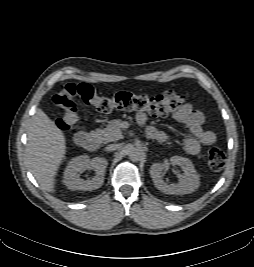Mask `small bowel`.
Masks as SVG:
<instances>
[{"label": "small bowel", "mask_w": 254, "mask_h": 267, "mask_svg": "<svg viewBox=\"0 0 254 267\" xmlns=\"http://www.w3.org/2000/svg\"><path fill=\"white\" fill-rule=\"evenodd\" d=\"M173 117L177 122L183 124L190 133L183 139L184 148L189 154L197 155L202 145L208 146L215 142L216 135L212 131L204 129V115L195 109L193 104H184L174 113ZM138 119L144 123L146 117L144 114H139ZM146 134L149 138L160 143H166L169 140V135L166 132L154 126L147 127Z\"/></svg>", "instance_id": "small-bowel-1"}]
</instances>
